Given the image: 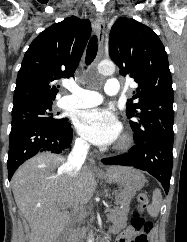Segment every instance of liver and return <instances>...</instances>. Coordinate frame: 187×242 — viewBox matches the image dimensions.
Instances as JSON below:
<instances>
[{
	"label": "liver",
	"mask_w": 187,
	"mask_h": 242,
	"mask_svg": "<svg viewBox=\"0 0 187 242\" xmlns=\"http://www.w3.org/2000/svg\"><path fill=\"white\" fill-rule=\"evenodd\" d=\"M126 168H106L107 181L115 183ZM11 185L18 209L30 225V242H54L71 220L67 208L88 203L97 187L91 169L84 167L72 177L66 159L52 153H39L26 161Z\"/></svg>",
	"instance_id": "6515ba94"
}]
</instances>
